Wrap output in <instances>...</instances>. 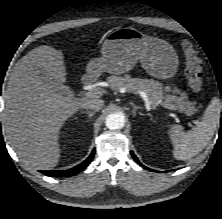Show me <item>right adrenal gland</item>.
Here are the masks:
<instances>
[{"mask_svg": "<svg viewBox=\"0 0 222 219\" xmlns=\"http://www.w3.org/2000/svg\"><path fill=\"white\" fill-rule=\"evenodd\" d=\"M81 113L88 114V116L91 118L96 113V111H82Z\"/></svg>", "mask_w": 222, "mask_h": 219, "instance_id": "2a0ac1e0", "label": "right adrenal gland"}]
</instances>
